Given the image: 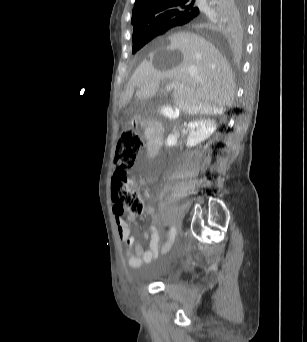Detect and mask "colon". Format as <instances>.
I'll return each mask as SVG.
<instances>
[{
    "mask_svg": "<svg viewBox=\"0 0 307 342\" xmlns=\"http://www.w3.org/2000/svg\"><path fill=\"white\" fill-rule=\"evenodd\" d=\"M144 145V138L135 130L124 131L118 141L115 154V173L112 185L113 200L120 213L128 211L129 220L139 217L144 210L140 196L133 190L128 174L136 166Z\"/></svg>",
    "mask_w": 307,
    "mask_h": 342,
    "instance_id": "5ec220e1",
    "label": "colon"
}]
</instances>
